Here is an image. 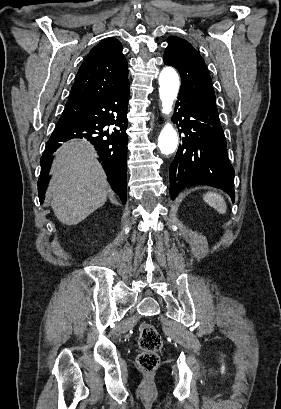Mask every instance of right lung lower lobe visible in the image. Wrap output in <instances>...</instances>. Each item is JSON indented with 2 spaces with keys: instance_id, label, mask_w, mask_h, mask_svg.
I'll return each instance as SVG.
<instances>
[{
  "instance_id": "1",
  "label": "right lung lower lobe",
  "mask_w": 281,
  "mask_h": 409,
  "mask_svg": "<svg viewBox=\"0 0 281 409\" xmlns=\"http://www.w3.org/2000/svg\"><path fill=\"white\" fill-rule=\"evenodd\" d=\"M129 83L103 97L88 101L67 102L41 157L38 180L40 202L44 201L51 162L50 156L64 142L73 138L90 141L103 161L113 190L126 203V160Z\"/></svg>"
}]
</instances>
